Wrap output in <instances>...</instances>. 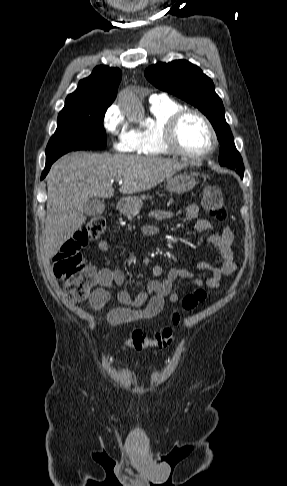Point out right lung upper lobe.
<instances>
[{"mask_svg": "<svg viewBox=\"0 0 287 486\" xmlns=\"http://www.w3.org/2000/svg\"><path fill=\"white\" fill-rule=\"evenodd\" d=\"M121 76V70L118 68L97 66L89 77L80 80L76 91L67 96L64 107L88 104L111 105L116 98Z\"/></svg>", "mask_w": 287, "mask_h": 486, "instance_id": "right-lung-upper-lobe-1", "label": "right lung upper lobe"}]
</instances>
